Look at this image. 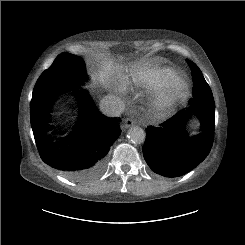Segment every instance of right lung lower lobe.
I'll use <instances>...</instances> for the list:
<instances>
[{
  "label": "right lung lower lobe",
  "mask_w": 245,
  "mask_h": 245,
  "mask_svg": "<svg viewBox=\"0 0 245 245\" xmlns=\"http://www.w3.org/2000/svg\"><path fill=\"white\" fill-rule=\"evenodd\" d=\"M74 89L80 115L69 135L56 141L47 135L52 104L65 91L50 93L31 103L30 121L42 160L69 179L85 182L98 177L105 169L110 146L121 133V120L104 116L85 90Z\"/></svg>",
  "instance_id": "obj_1"
}]
</instances>
